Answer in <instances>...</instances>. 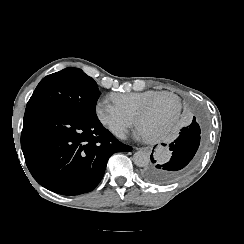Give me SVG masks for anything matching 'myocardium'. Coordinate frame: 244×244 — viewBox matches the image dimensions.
Listing matches in <instances>:
<instances>
[{
	"label": "myocardium",
	"mask_w": 244,
	"mask_h": 244,
	"mask_svg": "<svg viewBox=\"0 0 244 244\" xmlns=\"http://www.w3.org/2000/svg\"><path fill=\"white\" fill-rule=\"evenodd\" d=\"M129 94H132V93H129ZM163 96L174 97L178 101V107H177V110L168 118V120L162 123V127L159 129L158 132L160 133L165 126L172 124L175 121L176 117L178 116V114L182 108V99L179 95H177L174 92H162V93H158L157 95H153V98H150V100H147V102H144V104H142L141 111L139 112V117L137 118V123L139 125L140 124L145 125L143 119L145 117V113L147 112L148 108L152 104H154L157 100H161V98Z\"/></svg>",
	"instance_id": "f54148a6"
}]
</instances>
